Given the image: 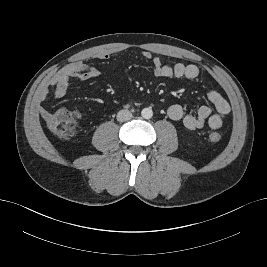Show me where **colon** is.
Wrapping results in <instances>:
<instances>
[{
    "label": "colon",
    "instance_id": "colon-1",
    "mask_svg": "<svg viewBox=\"0 0 267 267\" xmlns=\"http://www.w3.org/2000/svg\"><path fill=\"white\" fill-rule=\"evenodd\" d=\"M49 129L58 137L66 138L72 135L79 124V115L68 109H58L51 113L46 120ZM209 139L212 142H219L221 135L218 132H211Z\"/></svg>",
    "mask_w": 267,
    "mask_h": 267
}]
</instances>
